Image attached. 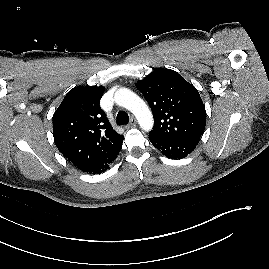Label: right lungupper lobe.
<instances>
[{
  "label": "right lung upper lobe",
  "instance_id": "cb5924a9",
  "mask_svg": "<svg viewBox=\"0 0 269 269\" xmlns=\"http://www.w3.org/2000/svg\"><path fill=\"white\" fill-rule=\"evenodd\" d=\"M104 89L102 86L71 89L53 115L54 142L80 170L102 159L123 139L100 108Z\"/></svg>",
  "mask_w": 269,
  "mask_h": 269
}]
</instances>
